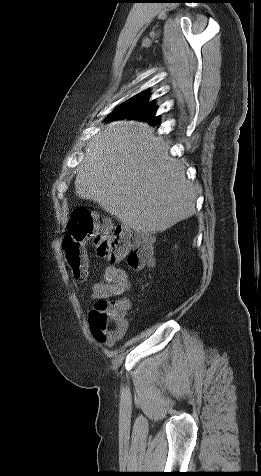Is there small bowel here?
<instances>
[{
    "label": "small bowel",
    "instance_id": "1",
    "mask_svg": "<svg viewBox=\"0 0 261 476\" xmlns=\"http://www.w3.org/2000/svg\"><path fill=\"white\" fill-rule=\"evenodd\" d=\"M131 282L127 271L116 265L105 267L101 278L92 287V299L95 301L105 300L107 298L120 296L131 291ZM127 308L130 302L123 300Z\"/></svg>",
    "mask_w": 261,
    "mask_h": 476
}]
</instances>
